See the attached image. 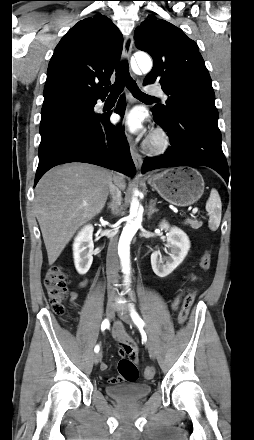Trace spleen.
<instances>
[{"instance_id":"spleen-1","label":"spleen","mask_w":254,"mask_h":440,"mask_svg":"<svg viewBox=\"0 0 254 440\" xmlns=\"http://www.w3.org/2000/svg\"><path fill=\"white\" fill-rule=\"evenodd\" d=\"M222 203L219 193L216 189H212L210 197L206 203V211L210 214L209 228L212 231L217 230L221 221Z\"/></svg>"}]
</instances>
